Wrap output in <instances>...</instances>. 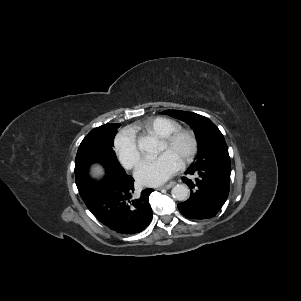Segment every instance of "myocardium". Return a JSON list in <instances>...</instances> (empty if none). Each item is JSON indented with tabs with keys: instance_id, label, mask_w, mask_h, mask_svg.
<instances>
[{
	"instance_id": "1",
	"label": "myocardium",
	"mask_w": 301,
	"mask_h": 301,
	"mask_svg": "<svg viewBox=\"0 0 301 301\" xmlns=\"http://www.w3.org/2000/svg\"><path fill=\"white\" fill-rule=\"evenodd\" d=\"M184 138L189 140L190 148L181 160L183 165L192 162L198 153L199 143L196 133L191 129H178L165 137H161L162 142L168 146H174Z\"/></svg>"
}]
</instances>
